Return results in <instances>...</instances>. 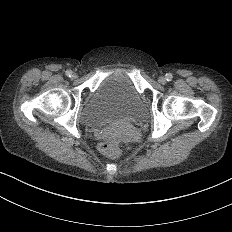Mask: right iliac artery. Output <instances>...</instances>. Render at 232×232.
Here are the masks:
<instances>
[{"mask_svg": "<svg viewBox=\"0 0 232 232\" xmlns=\"http://www.w3.org/2000/svg\"><path fill=\"white\" fill-rule=\"evenodd\" d=\"M66 76L67 77H71L72 76V71L71 70H67L66 71Z\"/></svg>", "mask_w": 232, "mask_h": 232, "instance_id": "82829eb1", "label": "right iliac artery"}]
</instances>
